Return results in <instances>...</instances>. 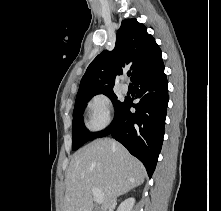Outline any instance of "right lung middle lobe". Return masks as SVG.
Segmentation results:
<instances>
[{
    "instance_id": "1",
    "label": "right lung middle lobe",
    "mask_w": 221,
    "mask_h": 211,
    "mask_svg": "<svg viewBox=\"0 0 221 211\" xmlns=\"http://www.w3.org/2000/svg\"><path fill=\"white\" fill-rule=\"evenodd\" d=\"M101 94V93H99ZM104 95L108 96L115 108V113L120 109L123 102L117 100V96L113 91L104 92ZM97 94L85 95L76 98L75 107L73 111V124H72V150H77L83 144L89 140H93L97 137L99 132H89L83 123V112L87 105V102Z\"/></svg>"
}]
</instances>
